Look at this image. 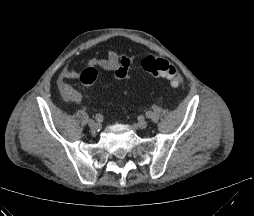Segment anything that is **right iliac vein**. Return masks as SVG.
<instances>
[{"label":"right iliac vein","mask_w":254,"mask_h":216,"mask_svg":"<svg viewBox=\"0 0 254 216\" xmlns=\"http://www.w3.org/2000/svg\"><path fill=\"white\" fill-rule=\"evenodd\" d=\"M88 126L94 132L98 131L101 127L100 124L95 122L94 120H89L88 121Z\"/></svg>","instance_id":"63e3f726"}]
</instances>
